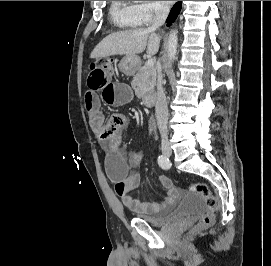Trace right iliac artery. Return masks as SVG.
Instances as JSON below:
<instances>
[{
	"label": "right iliac artery",
	"instance_id": "1",
	"mask_svg": "<svg viewBox=\"0 0 271 266\" xmlns=\"http://www.w3.org/2000/svg\"><path fill=\"white\" fill-rule=\"evenodd\" d=\"M158 164L162 169H165V170L171 167V162L165 155H160L158 157Z\"/></svg>",
	"mask_w": 271,
	"mask_h": 266
}]
</instances>
